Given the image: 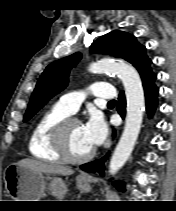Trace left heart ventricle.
I'll return each mask as SVG.
<instances>
[{
    "label": "left heart ventricle",
    "mask_w": 176,
    "mask_h": 211,
    "mask_svg": "<svg viewBox=\"0 0 176 211\" xmlns=\"http://www.w3.org/2000/svg\"><path fill=\"white\" fill-rule=\"evenodd\" d=\"M67 143L70 152L75 156L84 155L93 147L87 142L80 123H72L67 129Z\"/></svg>",
    "instance_id": "1"
}]
</instances>
